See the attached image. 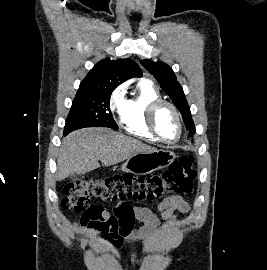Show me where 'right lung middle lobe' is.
Wrapping results in <instances>:
<instances>
[{
    "instance_id": "right-lung-middle-lobe-1",
    "label": "right lung middle lobe",
    "mask_w": 267,
    "mask_h": 270,
    "mask_svg": "<svg viewBox=\"0 0 267 270\" xmlns=\"http://www.w3.org/2000/svg\"><path fill=\"white\" fill-rule=\"evenodd\" d=\"M114 88L79 89L66 119L64 135L85 127L117 129L109 101Z\"/></svg>"
}]
</instances>
